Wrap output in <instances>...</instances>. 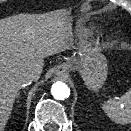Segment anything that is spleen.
I'll use <instances>...</instances> for the list:
<instances>
[{
	"mask_svg": "<svg viewBox=\"0 0 131 131\" xmlns=\"http://www.w3.org/2000/svg\"><path fill=\"white\" fill-rule=\"evenodd\" d=\"M102 109L115 123H131V88L120 98L107 100Z\"/></svg>",
	"mask_w": 131,
	"mask_h": 131,
	"instance_id": "3e777b00",
	"label": "spleen"
}]
</instances>
